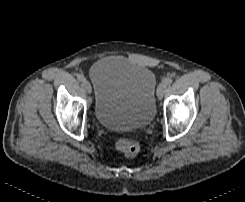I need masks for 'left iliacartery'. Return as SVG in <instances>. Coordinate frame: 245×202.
<instances>
[{
	"label": "left iliac artery",
	"instance_id": "1",
	"mask_svg": "<svg viewBox=\"0 0 245 202\" xmlns=\"http://www.w3.org/2000/svg\"><path fill=\"white\" fill-rule=\"evenodd\" d=\"M173 79L171 77H166L165 79H163L162 83L166 84V85H170L172 83Z\"/></svg>",
	"mask_w": 245,
	"mask_h": 202
}]
</instances>
